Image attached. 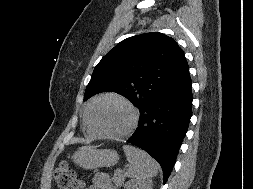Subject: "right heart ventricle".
<instances>
[{
    "label": "right heart ventricle",
    "mask_w": 253,
    "mask_h": 189,
    "mask_svg": "<svg viewBox=\"0 0 253 189\" xmlns=\"http://www.w3.org/2000/svg\"><path fill=\"white\" fill-rule=\"evenodd\" d=\"M89 105L88 104L84 110V115H83V125H84V129L85 131L87 132V134L89 135H93L94 133L92 132V130L90 129L89 125H88V122H87V111H88V108H89Z\"/></svg>",
    "instance_id": "obj_1"
}]
</instances>
